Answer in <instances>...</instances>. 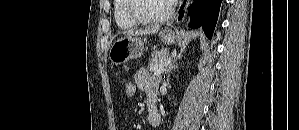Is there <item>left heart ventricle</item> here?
<instances>
[{"instance_id":"b2bd125f","label":"left heart ventricle","mask_w":299,"mask_h":130,"mask_svg":"<svg viewBox=\"0 0 299 130\" xmlns=\"http://www.w3.org/2000/svg\"><path fill=\"white\" fill-rule=\"evenodd\" d=\"M169 7L170 3L165 0H142L138 2L139 12L150 17L167 14Z\"/></svg>"}]
</instances>
